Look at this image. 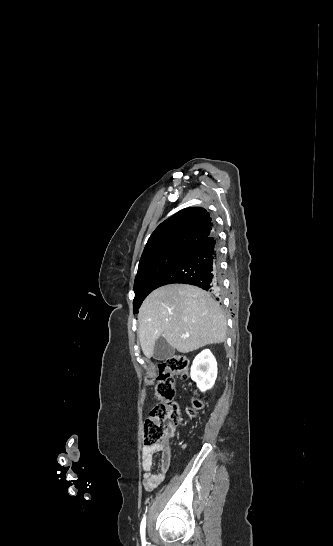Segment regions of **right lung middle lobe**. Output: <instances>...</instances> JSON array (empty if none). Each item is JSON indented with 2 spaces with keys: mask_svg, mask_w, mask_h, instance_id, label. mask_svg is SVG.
<instances>
[{
  "mask_svg": "<svg viewBox=\"0 0 333 546\" xmlns=\"http://www.w3.org/2000/svg\"><path fill=\"white\" fill-rule=\"evenodd\" d=\"M190 250L191 247H171L140 260L134 283V313L137 312L144 298L156 289L160 278Z\"/></svg>",
  "mask_w": 333,
  "mask_h": 546,
  "instance_id": "1",
  "label": "right lung middle lobe"
}]
</instances>
